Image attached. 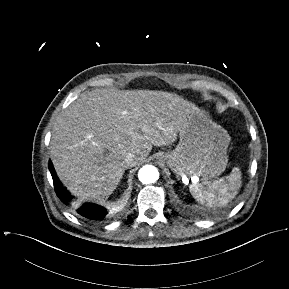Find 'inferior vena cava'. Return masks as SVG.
<instances>
[{
    "label": "inferior vena cava",
    "instance_id": "602c4592",
    "mask_svg": "<svg viewBox=\"0 0 289 289\" xmlns=\"http://www.w3.org/2000/svg\"><path fill=\"white\" fill-rule=\"evenodd\" d=\"M137 164V158L133 153H127L124 159V167L130 168Z\"/></svg>",
    "mask_w": 289,
    "mask_h": 289
}]
</instances>
